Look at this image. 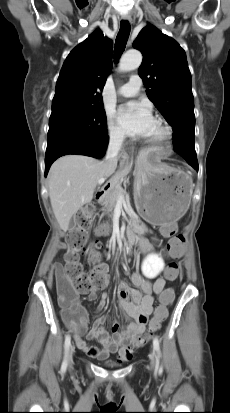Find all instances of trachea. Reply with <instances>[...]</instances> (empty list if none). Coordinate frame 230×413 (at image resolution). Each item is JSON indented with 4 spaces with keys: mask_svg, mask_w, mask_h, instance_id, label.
Listing matches in <instances>:
<instances>
[{
    "mask_svg": "<svg viewBox=\"0 0 230 413\" xmlns=\"http://www.w3.org/2000/svg\"><path fill=\"white\" fill-rule=\"evenodd\" d=\"M129 34H130V25L128 21L126 20L121 21L120 30L116 38L115 49H114V59L116 63L118 62L121 54L123 53L126 47Z\"/></svg>",
    "mask_w": 230,
    "mask_h": 413,
    "instance_id": "trachea-1",
    "label": "trachea"
}]
</instances>
